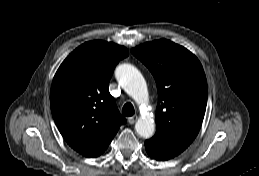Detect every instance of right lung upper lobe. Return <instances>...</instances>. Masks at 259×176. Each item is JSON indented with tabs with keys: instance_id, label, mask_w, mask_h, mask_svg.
Wrapping results in <instances>:
<instances>
[{
	"instance_id": "cb5924a9",
	"label": "right lung upper lobe",
	"mask_w": 259,
	"mask_h": 176,
	"mask_svg": "<svg viewBox=\"0 0 259 176\" xmlns=\"http://www.w3.org/2000/svg\"><path fill=\"white\" fill-rule=\"evenodd\" d=\"M129 55L120 45L89 41L57 70L50 92L54 121L65 141L85 157L102 154L126 119L108 83L117 63Z\"/></svg>"
}]
</instances>
